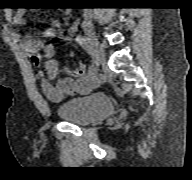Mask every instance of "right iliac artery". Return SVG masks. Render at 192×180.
Masks as SVG:
<instances>
[{
	"mask_svg": "<svg viewBox=\"0 0 192 180\" xmlns=\"http://www.w3.org/2000/svg\"><path fill=\"white\" fill-rule=\"evenodd\" d=\"M76 41L85 51H87V53L92 54V47L88 38L78 35Z\"/></svg>",
	"mask_w": 192,
	"mask_h": 180,
	"instance_id": "82829eb1",
	"label": "right iliac artery"
}]
</instances>
